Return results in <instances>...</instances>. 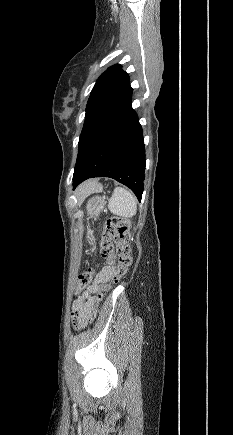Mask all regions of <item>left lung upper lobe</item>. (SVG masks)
Returning a JSON list of instances; mask_svg holds the SVG:
<instances>
[{"mask_svg":"<svg viewBox=\"0 0 233 435\" xmlns=\"http://www.w3.org/2000/svg\"><path fill=\"white\" fill-rule=\"evenodd\" d=\"M132 91L129 76L120 64L101 74L86 106L77 159L108 124L131 108Z\"/></svg>","mask_w":233,"mask_h":435,"instance_id":"1","label":"left lung upper lobe"}]
</instances>
